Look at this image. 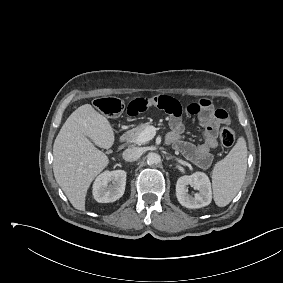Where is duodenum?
Listing matches in <instances>:
<instances>
[{"label": "duodenum", "mask_w": 283, "mask_h": 283, "mask_svg": "<svg viewBox=\"0 0 283 283\" xmlns=\"http://www.w3.org/2000/svg\"><path fill=\"white\" fill-rule=\"evenodd\" d=\"M132 134V131L131 130H128V131H125L121 136H120V139H119V143L120 144H123L124 142H126L129 137L131 136Z\"/></svg>", "instance_id": "410a0bca"}]
</instances>
